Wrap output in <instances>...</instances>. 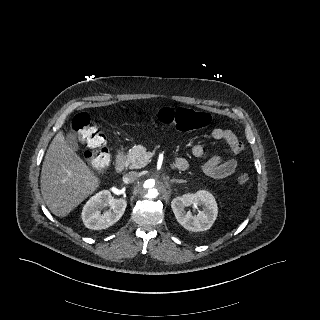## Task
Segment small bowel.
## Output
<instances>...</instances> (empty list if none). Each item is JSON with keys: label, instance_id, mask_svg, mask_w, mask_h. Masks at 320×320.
Here are the masks:
<instances>
[{"label": "small bowel", "instance_id": "c3829d8e", "mask_svg": "<svg viewBox=\"0 0 320 320\" xmlns=\"http://www.w3.org/2000/svg\"><path fill=\"white\" fill-rule=\"evenodd\" d=\"M211 137L214 140L224 141L230 149L231 157L214 156L204 163L203 171L214 179H222L233 175L239 168L235 157L242 153L244 149L243 143L233 131L228 129L214 128L211 131ZM192 154L197 158L202 157L204 154L203 147L199 144L194 145L192 147ZM177 160L186 161L184 158H178Z\"/></svg>", "mask_w": 320, "mask_h": 320}]
</instances>
